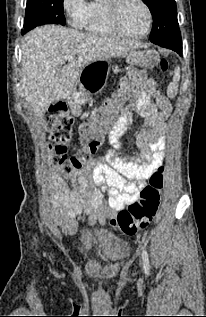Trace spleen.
Wrapping results in <instances>:
<instances>
[{"instance_id": "obj_1", "label": "spleen", "mask_w": 206, "mask_h": 317, "mask_svg": "<svg viewBox=\"0 0 206 317\" xmlns=\"http://www.w3.org/2000/svg\"><path fill=\"white\" fill-rule=\"evenodd\" d=\"M179 80H180V67H176L174 70L173 82H171L167 87V95L169 98H174L177 95Z\"/></svg>"}]
</instances>
